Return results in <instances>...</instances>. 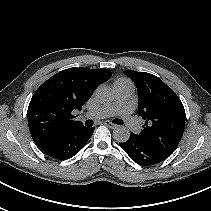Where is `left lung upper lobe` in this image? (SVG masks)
Instances as JSON below:
<instances>
[{
  "instance_id": "1",
  "label": "left lung upper lobe",
  "mask_w": 211,
  "mask_h": 211,
  "mask_svg": "<svg viewBox=\"0 0 211 211\" xmlns=\"http://www.w3.org/2000/svg\"><path fill=\"white\" fill-rule=\"evenodd\" d=\"M124 73L137 86L138 115L145 120L138 137L169 157L177 148L185 128V110L181 100L155 75L133 70H125Z\"/></svg>"
}]
</instances>
